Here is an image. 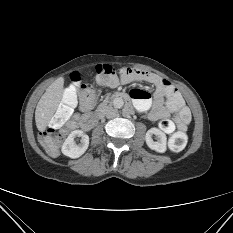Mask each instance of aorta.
<instances>
[{"mask_svg": "<svg viewBox=\"0 0 233 233\" xmlns=\"http://www.w3.org/2000/svg\"><path fill=\"white\" fill-rule=\"evenodd\" d=\"M113 105L115 108H122L124 105V101L122 98H115L113 101Z\"/></svg>", "mask_w": 233, "mask_h": 233, "instance_id": "aorta-1", "label": "aorta"}]
</instances>
